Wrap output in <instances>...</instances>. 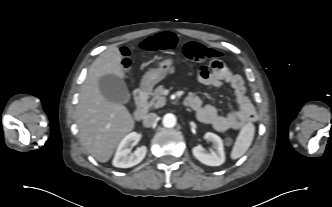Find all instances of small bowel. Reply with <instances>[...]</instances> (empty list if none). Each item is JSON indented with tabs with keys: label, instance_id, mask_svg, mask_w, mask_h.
Returning <instances> with one entry per match:
<instances>
[{
	"label": "small bowel",
	"instance_id": "1",
	"mask_svg": "<svg viewBox=\"0 0 332 207\" xmlns=\"http://www.w3.org/2000/svg\"><path fill=\"white\" fill-rule=\"evenodd\" d=\"M197 77L202 84L210 87L229 84L235 92L239 106L237 110L220 113L215 107L205 104L199 96L192 95L189 97L191 99L189 107L194 110L200 122L211 125L219 132H225L239 129L245 123L256 120L257 113L246 94L243 79L233 73L222 61L212 62L210 67L201 66Z\"/></svg>",
	"mask_w": 332,
	"mask_h": 207
}]
</instances>
